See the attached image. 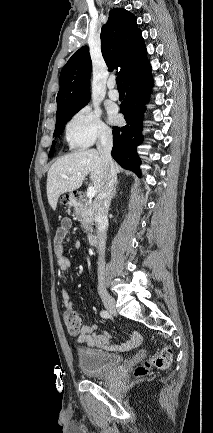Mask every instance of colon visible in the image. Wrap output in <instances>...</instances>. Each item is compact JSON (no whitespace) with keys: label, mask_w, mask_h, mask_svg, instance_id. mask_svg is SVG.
<instances>
[{"label":"colon","mask_w":213,"mask_h":433,"mask_svg":"<svg viewBox=\"0 0 213 433\" xmlns=\"http://www.w3.org/2000/svg\"><path fill=\"white\" fill-rule=\"evenodd\" d=\"M80 194L76 193L75 197H79ZM62 320L66 328L71 333H77L82 325V316L79 311L74 308L68 307L64 310L62 314ZM173 360V351L169 346L163 347L159 353L144 362L141 366L137 367L135 370V376L141 377L150 371L151 368L165 369L168 368Z\"/></svg>","instance_id":"1"}]
</instances>
